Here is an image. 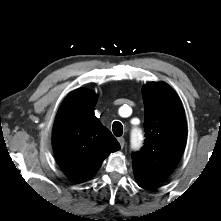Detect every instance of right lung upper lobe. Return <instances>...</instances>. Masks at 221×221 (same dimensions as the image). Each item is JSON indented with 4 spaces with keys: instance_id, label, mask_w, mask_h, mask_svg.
<instances>
[{
    "instance_id": "1",
    "label": "right lung upper lobe",
    "mask_w": 221,
    "mask_h": 221,
    "mask_svg": "<svg viewBox=\"0 0 221 221\" xmlns=\"http://www.w3.org/2000/svg\"><path fill=\"white\" fill-rule=\"evenodd\" d=\"M96 94L85 88L71 92L56 116L52 143L63 172L76 181L93 177L103 160L120 149L112 133L94 114Z\"/></svg>"
}]
</instances>
